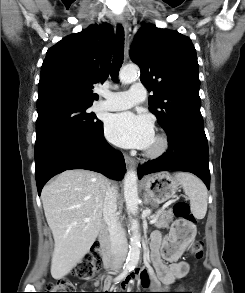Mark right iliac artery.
Here are the masks:
<instances>
[{"label":"right iliac artery","mask_w":245,"mask_h":293,"mask_svg":"<svg viewBox=\"0 0 245 293\" xmlns=\"http://www.w3.org/2000/svg\"><path fill=\"white\" fill-rule=\"evenodd\" d=\"M128 272H130V270H129L128 268L124 269V270L121 272V274L115 278L114 281H115L116 283H118L120 280H122V279L128 274Z\"/></svg>","instance_id":"obj_1"}]
</instances>
